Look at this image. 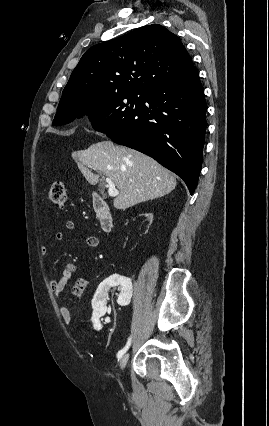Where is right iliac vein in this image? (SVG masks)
Segmentation results:
<instances>
[{"label":"right iliac vein","instance_id":"right-iliac-vein-1","mask_svg":"<svg viewBox=\"0 0 269 426\" xmlns=\"http://www.w3.org/2000/svg\"><path fill=\"white\" fill-rule=\"evenodd\" d=\"M128 359H129V354H128V353L124 354V355L121 357V359H120V368H121L122 370H124V369H125V367H126V365H127V362H128Z\"/></svg>","mask_w":269,"mask_h":426}]
</instances>
